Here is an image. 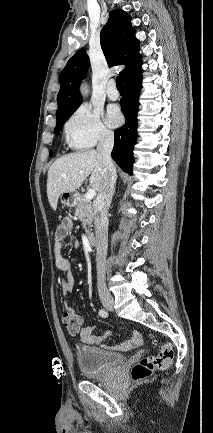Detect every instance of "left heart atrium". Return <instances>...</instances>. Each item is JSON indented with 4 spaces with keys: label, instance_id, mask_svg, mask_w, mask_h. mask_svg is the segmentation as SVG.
I'll return each mask as SVG.
<instances>
[{
    "label": "left heart atrium",
    "instance_id": "39dd6f15",
    "mask_svg": "<svg viewBox=\"0 0 213 433\" xmlns=\"http://www.w3.org/2000/svg\"><path fill=\"white\" fill-rule=\"evenodd\" d=\"M107 122L113 127L120 125V123L122 122V116L117 108L113 107L108 111Z\"/></svg>",
    "mask_w": 213,
    "mask_h": 433
}]
</instances>
